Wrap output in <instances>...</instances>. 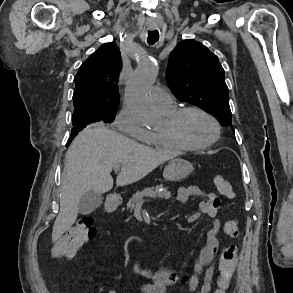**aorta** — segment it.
Masks as SVG:
<instances>
[{
  "label": "aorta",
  "mask_w": 293,
  "mask_h": 293,
  "mask_svg": "<svg viewBox=\"0 0 293 293\" xmlns=\"http://www.w3.org/2000/svg\"><path fill=\"white\" fill-rule=\"evenodd\" d=\"M157 65L150 57L143 58L126 86L127 105L136 119L145 125L157 121L154 108L149 100V90L157 77Z\"/></svg>",
  "instance_id": "aorta-1"
}]
</instances>
